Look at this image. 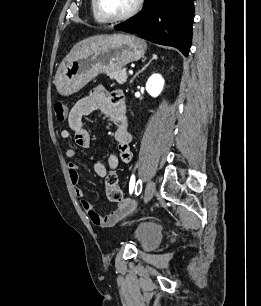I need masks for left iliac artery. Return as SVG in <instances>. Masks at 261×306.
<instances>
[{
	"mask_svg": "<svg viewBox=\"0 0 261 306\" xmlns=\"http://www.w3.org/2000/svg\"><path fill=\"white\" fill-rule=\"evenodd\" d=\"M134 186H135V176L132 175L129 183L130 194L133 192ZM141 190H142V181L138 180L135 187V194L138 196L141 193Z\"/></svg>",
	"mask_w": 261,
	"mask_h": 306,
	"instance_id": "44dca946",
	"label": "left iliac artery"
}]
</instances>
